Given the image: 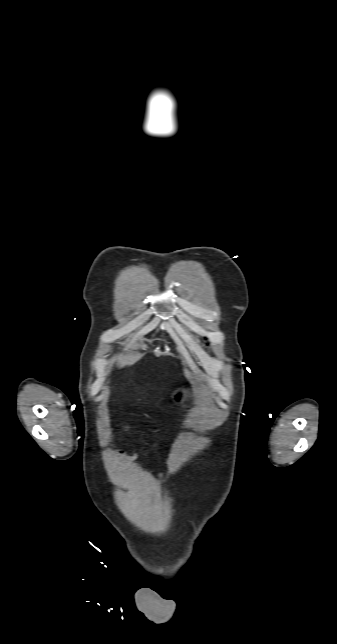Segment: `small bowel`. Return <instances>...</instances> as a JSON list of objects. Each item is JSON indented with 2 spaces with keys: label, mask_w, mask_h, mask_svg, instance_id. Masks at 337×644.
<instances>
[{
  "label": "small bowel",
  "mask_w": 337,
  "mask_h": 644,
  "mask_svg": "<svg viewBox=\"0 0 337 644\" xmlns=\"http://www.w3.org/2000/svg\"><path fill=\"white\" fill-rule=\"evenodd\" d=\"M119 454L129 461H134L137 458V454L134 451H131L129 453L119 452Z\"/></svg>",
  "instance_id": "c3829d8e"
}]
</instances>
